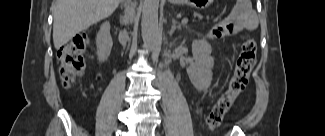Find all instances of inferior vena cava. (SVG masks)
Returning a JSON list of instances; mask_svg holds the SVG:
<instances>
[{
	"label": "inferior vena cava",
	"mask_w": 325,
	"mask_h": 136,
	"mask_svg": "<svg viewBox=\"0 0 325 136\" xmlns=\"http://www.w3.org/2000/svg\"><path fill=\"white\" fill-rule=\"evenodd\" d=\"M125 14L123 18V23L124 24H129L132 23L135 17V3L133 0H125Z\"/></svg>",
	"instance_id": "602c4592"
}]
</instances>
